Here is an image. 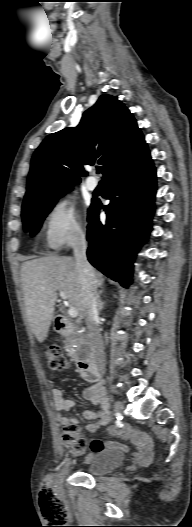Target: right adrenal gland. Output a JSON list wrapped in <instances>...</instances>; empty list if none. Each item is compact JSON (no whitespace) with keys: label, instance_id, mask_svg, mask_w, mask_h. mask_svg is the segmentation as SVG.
I'll return each mask as SVG.
<instances>
[{"label":"right adrenal gland","instance_id":"2a0ac1e0","mask_svg":"<svg viewBox=\"0 0 192 527\" xmlns=\"http://www.w3.org/2000/svg\"><path fill=\"white\" fill-rule=\"evenodd\" d=\"M101 294H102V292H100V293L98 294V297H97L99 312L102 311V309H103V307H104V304L106 303V302H103V301H102V299H101Z\"/></svg>","mask_w":192,"mask_h":527}]
</instances>
